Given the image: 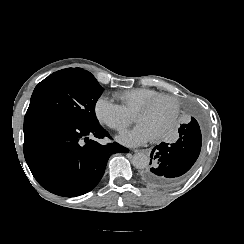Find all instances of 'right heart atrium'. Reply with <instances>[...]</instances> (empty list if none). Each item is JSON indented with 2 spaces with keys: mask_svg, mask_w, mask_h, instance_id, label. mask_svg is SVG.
I'll return each instance as SVG.
<instances>
[{
  "mask_svg": "<svg viewBox=\"0 0 244 244\" xmlns=\"http://www.w3.org/2000/svg\"><path fill=\"white\" fill-rule=\"evenodd\" d=\"M94 112L99 122L118 133H123L135 122L132 112L124 105L115 103L109 96H100L94 104Z\"/></svg>",
  "mask_w": 244,
  "mask_h": 244,
  "instance_id": "1",
  "label": "right heart atrium"
}]
</instances>
